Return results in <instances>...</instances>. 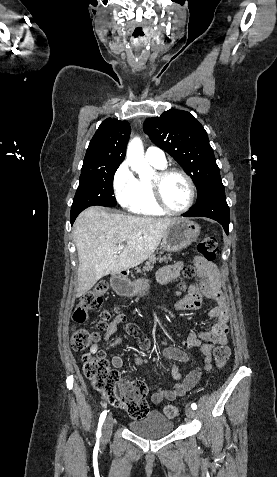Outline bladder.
<instances>
[{
    "label": "bladder",
    "mask_w": 277,
    "mask_h": 477,
    "mask_svg": "<svg viewBox=\"0 0 277 477\" xmlns=\"http://www.w3.org/2000/svg\"><path fill=\"white\" fill-rule=\"evenodd\" d=\"M128 427L139 436L153 439L170 434L174 429V423L170 418L154 411L141 419L130 421Z\"/></svg>",
    "instance_id": "bladder-1"
}]
</instances>
